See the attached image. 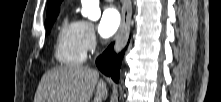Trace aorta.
Instances as JSON below:
<instances>
[{
	"mask_svg": "<svg viewBox=\"0 0 221 102\" xmlns=\"http://www.w3.org/2000/svg\"><path fill=\"white\" fill-rule=\"evenodd\" d=\"M82 10L81 14L83 17H87L92 21H96L101 16L99 8V0H81Z\"/></svg>",
	"mask_w": 221,
	"mask_h": 102,
	"instance_id": "obj_1",
	"label": "aorta"
}]
</instances>
